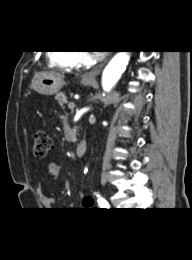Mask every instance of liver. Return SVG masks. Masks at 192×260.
<instances>
[{"label": "liver", "mask_w": 192, "mask_h": 260, "mask_svg": "<svg viewBox=\"0 0 192 260\" xmlns=\"http://www.w3.org/2000/svg\"><path fill=\"white\" fill-rule=\"evenodd\" d=\"M43 73H53V72H43Z\"/></svg>", "instance_id": "obj_1"}]
</instances>
